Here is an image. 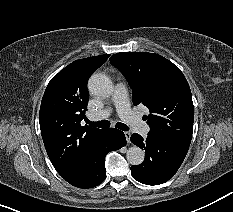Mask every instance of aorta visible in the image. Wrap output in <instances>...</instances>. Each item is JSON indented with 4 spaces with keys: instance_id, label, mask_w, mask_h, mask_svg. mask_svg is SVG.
I'll return each instance as SVG.
<instances>
[{
    "instance_id": "aorta-1",
    "label": "aorta",
    "mask_w": 233,
    "mask_h": 212,
    "mask_svg": "<svg viewBox=\"0 0 233 212\" xmlns=\"http://www.w3.org/2000/svg\"><path fill=\"white\" fill-rule=\"evenodd\" d=\"M88 88L93 95L102 98H109L114 91L110 78L101 73H95L90 77ZM126 158L131 165H140L144 161L145 154L141 148L132 146L127 150Z\"/></svg>"
}]
</instances>
